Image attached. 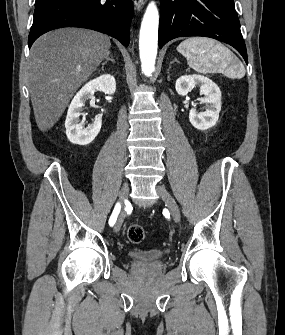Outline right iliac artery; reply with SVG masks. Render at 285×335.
I'll use <instances>...</instances> for the list:
<instances>
[{"mask_svg": "<svg viewBox=\"0 0 285 335\" xmlns=\"http://www.w3.org/2000/svg\"><path fill=\"white\" fill-rule=\"evenodd\" d=\"M120 209H121V205H120V203H117L115 205L114 210L112 212V215H111V217L109 219V225L110 226H113L115 224V222L117 220V216H118V214L120 212Z\"/></svg>", "mask_w": 285, "mask_h": 335, "instance_id": "1", "label": "right iliac artery"}]
</instances>
